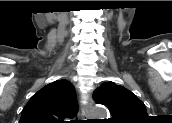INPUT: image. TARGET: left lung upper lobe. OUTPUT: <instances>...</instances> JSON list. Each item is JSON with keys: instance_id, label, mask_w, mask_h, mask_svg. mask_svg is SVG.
<instances>
[{"instance_id": "obj_1", "label": "left lung upper lobe", "mask_w": 172, "mask_h": 123, "mask_svg": "<svg viewBox=\"0 0 172 123\" xmlns=\"http://www.w3.org/2000/svg\"><path fill=\"white\" fill-rule=\"evenodd\" d=\"M93 97L96 103L109 109L111 123H141L148 118L144 103L130 90L114 82L103 83L94 91Z\"/></svg>"}]
</instances>
